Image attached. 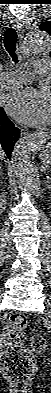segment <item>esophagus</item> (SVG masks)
<instances>
[{
	"mask_svg": "<svg viewBox=\"0 0 51 393\" xmlns=\"http://www.w3.org/2000/svg\"><path fill=\"white\" fill-rule=\"evenodd\" d=\"M12 27L15 28L17 31L21 30V25L19 23H12Z\"/></svg>",
	"mask_w": 51,
	"mask_h": 393,
	"instance_id": "34e87169",
	"label": "esophagus"
}]
</instances>
